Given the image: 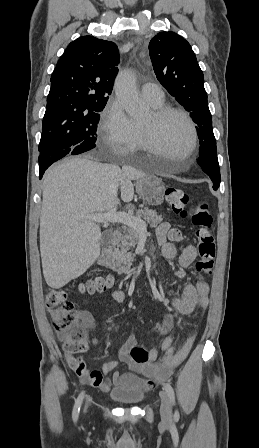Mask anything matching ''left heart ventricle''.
I'll return each mask as SVG.
<instances>
[{
    "mask_svg": "<svg viewBox=\"0 0 259 448\" xmlns=\"http://www.w3.org/2000/svg\"><path fill=\"white\" fill-rule=\"evenodd\" d=\"M149 121L150 113L140 124H147ZM157 136L163 149L156 151L154 156L169 162L188 160L187 149L191 141V133L181 117L172 115L165 118L158 126Z\"/></svg>",
    "mask_w": 259,
    "mask_h": 448,
    "instance_id": "1",
    "label": "left heart ventricle"
}]
</instances>
